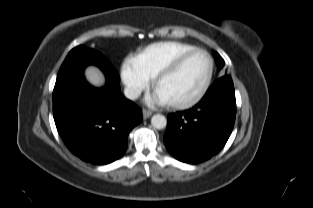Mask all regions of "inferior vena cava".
<instances>
[{
  "label": "inferior vena cava",
  "mask_w": 313,
  "mask_h": 208,
  "mask_svg": "<svg viewBox=\"0 0 313 208\" xmlns=\"http://www.w3.org/2000/svg\"><path fill=\"white\" fill-rule=\"evenodd\" d=\"M124 95L130 100H135L141 95V89L137 87H126L124 89Z\"/></svg>",
  "instance_id": "602c4592"
}]
</instances>
